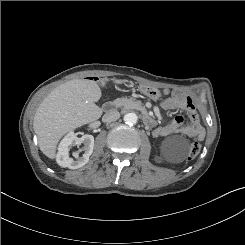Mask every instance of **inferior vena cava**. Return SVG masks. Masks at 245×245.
<instances>
[{
  "label": "inferior vena cava",
  "instance_id": "obj_1",
  "mask_svg": "<svg viewBox=\"0 0 245 245\" xmlns=\"http://www.w3.org/2000/svg\"><path fill=\"white\" fill-rule=\"evenodd\" d=\"M119 118H120V113L116 110H112V111L107 112L103 116L102 120L104 122H112V121H116Z\"/></svg>",
  "mask_w": 245,
  "mask_h": 245
}]
</instances>
